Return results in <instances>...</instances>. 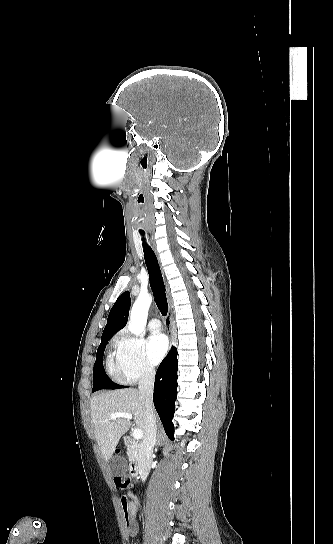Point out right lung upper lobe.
Returning <instances> with one entry per match:
<instances>
[{
  "label": "right lung upper lobe",
  "mask_w": 333,
  "mask_h": 544,
  "mask_svg": "<svg viewBox=\"0 0 333 544\" xmlns=\"http://www.w3.org/2000/svg\"><path fill=\"white\" fill-rule=\"evenodd\" d=\"M130 304V293L129 291H126L121 296H119V298L113 305L109 313L107 324L104 328L101 340L111 338L117 331H119L126 325Z\"/></svg>",
  "instance_id": "right-lung-upper-lobe-1"
}]
</instances>
